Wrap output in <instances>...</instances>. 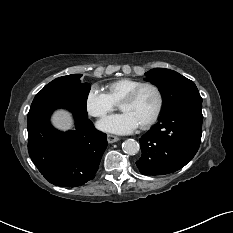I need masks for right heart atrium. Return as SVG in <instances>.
<instances>
[{"label":"right heart atrium","instance_id":"obj_1","mask_svg":"<svg viewBox=\"0 0 233 233\" xmlns=\"http://www.w3.org/2000/svg\"><path fill=\"white\" fill-rule=\"evenodd\" d=\"M115 103L96 85L90 87L85 98V107L89 115L103 118L115 109Z\"/></svg>","mask_w":233,"mask_h":233}]
</instances>
